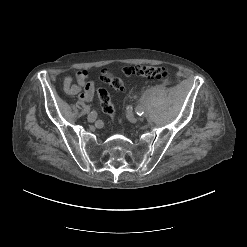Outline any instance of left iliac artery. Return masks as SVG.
<instances>
[{
  "label": "left iliac artery",
  "instance_id": "left-iliac-artery-1",
  "mask_svg": "<svg viewBox=\"0 0 247 247\" xmlns=\"http://www.w3.org/2000/svg\"><path fill=\"white\" fill-rule=\"evenodd\" d=\"M135 112H136L137 115H140V116L144 114V110H143V108L141 106H137L135 108Z\"/></svg>",
  "mask_w": 247,
  "mask_h": 247
}]
</instances>
